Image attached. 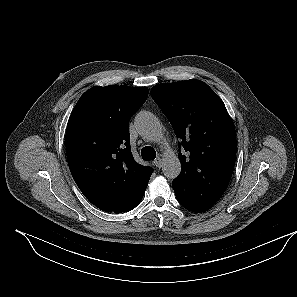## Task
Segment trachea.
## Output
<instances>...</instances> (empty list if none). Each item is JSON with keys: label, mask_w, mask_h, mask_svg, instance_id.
Instances as JSON below:
<instances>
[{"label": "trachea", "mask_w": 297, "mask_h": 297, "mask_svg": "<svg viewBox=\"0 0 297 297\" xmlns=\"http://www.w3.org/2000/svg\"><path fill=\"white\" fill-rule=\"evenodd\" d=\"M143 160L150 161L156 158V151L150 146H146L141 150Z\"/></svg>", "instance_id": "trachea-1"}]
</instances>
